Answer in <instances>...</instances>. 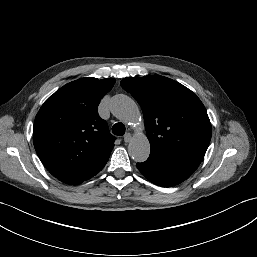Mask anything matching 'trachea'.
Instances as JSON below:
<instances>
[{
    "instance_id": "trachea-1",
    "label": "trachea",
    "mask_w": 257,
    "mask_h": 257,
    "mask_svg": "<svg viewBox=\"0 0 257 257\" xmlns=\"http://www.w3.org/2000/svg\"><path fill=\"white\" fill-rule=\"evenodd\" d=\"M112 133L117 135V136H122L125 134V126L124 124L118 122L115 123L112 127Z\"/></svg>"
}]
</instances>
